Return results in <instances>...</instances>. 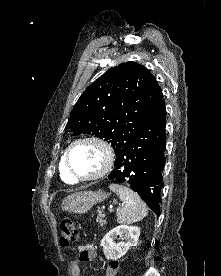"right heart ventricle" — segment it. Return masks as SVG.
Masks as SVG:
<instances>
[{"label": "right heart ventricle", "instance_id": "1", "mask_svg": "<svg viewBox=\"0 0 221 276\" xmlns=\"http://www.w3.org/2000/svg\"><path fill=\"white\" fill-rule=\"evenodd\" d=\"M59 169H60V175L62 180H64L67 183H74L75 180L69 176V174L66 171L65 168V163H64V157L61 158L60 164H59Z\"/></svg>", "mask_w": 221, "mask_h": 276}]
</instances>
